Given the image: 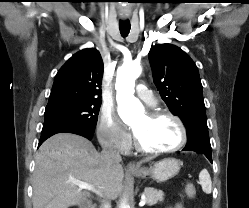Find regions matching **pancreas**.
Returning <instances> with one entry per match:
<instances>
[{
    "mask_svg": "<svg viewBox=\"0 0 249 208\" xmlns=\"http://www.w3.org/2000/svg\"><path fill=\"white\" fill-rule=\"evenodd\" d=\"M143 194L146 197V203L150 206L164 200V192L153 187H146Z\"/></svg>",
    "mask_w": 249,
    "mask_h": 208,
    "instance_id": "obj_1",
    "label": "pancreas"
}]
</instances>
